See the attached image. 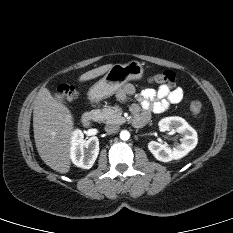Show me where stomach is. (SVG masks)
<instances>
[{
	"label": "stomach",
	"instance_id": "0dacf381",
	"mask_svg": "<svg viewBox=\"0 0 233 233\" xmlns=\"http://www.w3.org/2000/svg\"><path fill=\"white\" fill-rule=\"evenodd\" d=\"M144 75L140 62L132 60L127 64H114L102 79L89 90L88 96L97 101L112 96L130 80H139Z\"/></svg>",
	"mask_w": 233,
	"mask_h": 233
}]
</instances>
